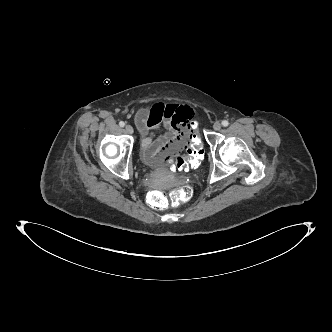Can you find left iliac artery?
Segmentation results:
<instances>
[{"mask_svg": "<svg viewBox=\"0 0 332 332\" xmlns=\"http://www.w3.org/2000/svg\"><path fill=\"white\" fill-rule=\"evenodd\" d=\"M228 124H229V122H228L227 120H223V121H222V125H223L224 127H227Z\"/></svg>", "mask_w": 332, "mask_h": 332, "instance_id": "1", "label": "left iliac artery"}]
</instances>
